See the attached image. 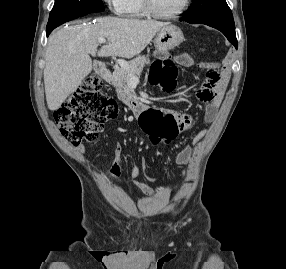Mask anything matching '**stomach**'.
<instances>
[{"instance_id":"1","label":"stomach","mask_w":286,"mask_h":269,"mask_svg":"<svg viewBox=\"0 0 286 269\" xmlns=\"http://www.w3.org/2000/svg\"><path fill=\"white\" fill-rule=\"evenodd\" d=\"M184 40L181 29L175 25L169 24L163 27L154 38L155 49L172 50L179 46Z\"/></svg>"}]
</instances>
